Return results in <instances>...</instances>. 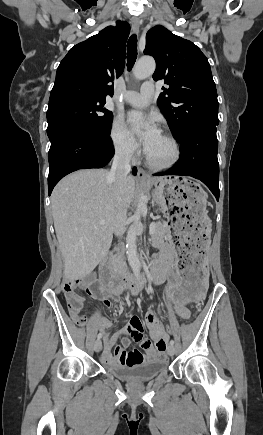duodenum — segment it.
I'll return each instance as SVG.
<instances>
[{"label": "duodenum", "instance_id": "duodenum-1", "mask_svg": "<svg viewBox=\"0 0 263 435\" xmlns=\"http://www.w3.org/2000/svg\"><path fill=\"white\" fill-rule=\"evenodd\" d=\"M105 282L111 294H118L123 290L136 294L143 288L140 278L117 270L113 253H109L105 260Z\"/></svg>", "mask_w": 263, "mask_h": 435}]
</instances>
